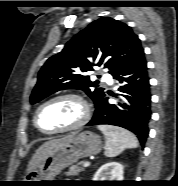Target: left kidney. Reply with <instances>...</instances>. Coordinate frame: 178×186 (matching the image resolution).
Here are the masks:
<instances>
[{
    "mask_svg": "<svg viewBox=\"0 0 178 186\" xmlns=\"http://www.w3.org/2000/svg\"><path fill=\"white\" fill-rule=\"evenodd\" d=\"M123 165L109 162L102 165L93 177V181H123Z\"/></svg>",
    "mask_w": 178,
    "mask_h": 186,
    "instance_id": "1",
    "label": "left kidney"
}]
</instances>
